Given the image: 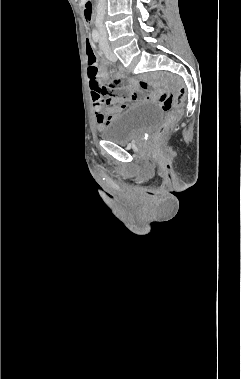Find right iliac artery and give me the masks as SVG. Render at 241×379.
Segmentation results:
<instances>
[{
    "label": "right iliac artery",
    "mask_w": 241,
    "mask_h": 379,
    "mask_svg": "<svg viewBox=\"0 0 241 379\" xmlns=\"http://www.w3.org/2000/svg\"><path fill=\"white\" fill-rule=\"evenodd\" d=\"M92 37H93V40H94L95 42H98L99 39H100V34H99V32H98L97 30H93V32H92Z\"/></svg>",
    "instance_id": "right-iliac-artery-1"
}]
</instances>
